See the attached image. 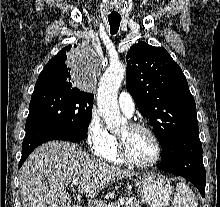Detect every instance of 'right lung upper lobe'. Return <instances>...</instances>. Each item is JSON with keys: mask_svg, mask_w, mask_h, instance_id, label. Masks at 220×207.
Instances as JSON below:
<instances>
[{"mask_svg": "<svg viewBox=\"0 0 220 207\" xmlns=\"http://www.w3.org/2000/svg\"><path fill=\"white\" fill-rule=\"evenodd\" d=\"M71 45L64 47L51 58L40 73L34 89L58 88L81 91L74 86L71 68L67 64V52Z\"/></svg>", "mask_w": 220, "mask_h": 207, "instance_id": "1", "label": "right lung upper lobe"}]
</instances>
